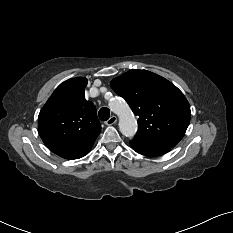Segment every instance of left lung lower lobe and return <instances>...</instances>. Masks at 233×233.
Returning a JSON list of instances; mask_svg holds the SVG:
<instances>
[{
	"instance_id": "0a47b994",
	"label": "left lung lower lobe",
	"mask_w": 233,
	"mask_h": 233,
	"mask_svg": "<svg viewBox=\"0 0 233 233\" xmlns=\"http://www.w3.org/2000/svg\"><path fill=\"white\" fill-rule=\"evenodd\" d=\"M131 146L134 151L140 153L145 156H160L168 151H170L171 147L163 146V145H156V144H149V143H142L137 141H130Z\"/></svg>"
}]
</instances>
